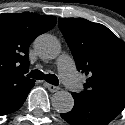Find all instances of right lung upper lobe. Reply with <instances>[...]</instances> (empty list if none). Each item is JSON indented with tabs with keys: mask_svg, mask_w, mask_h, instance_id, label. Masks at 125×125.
<instances>
[{
	"mask_svg": "<svg viewBox=\"0 0 125 125\" xmlns=\"http://www.w3.org/2000/svg\"><path fill=\"white\" fill-rule=\"evenodd\" d=\"M57 18L35 13L0 14V91L29 83V45L40 34L52 29Z\"/></svg>",
	"mask_w": 125,
	"mask_h": 125,
	"instance_id": "right-lung-upper-lobe-1",
	"label": "right lung upper lobe"
}]
</instances>
